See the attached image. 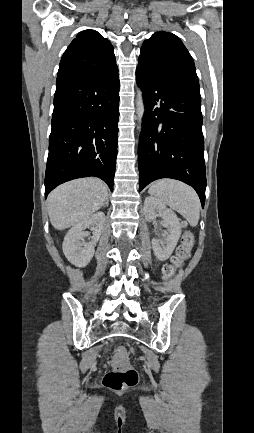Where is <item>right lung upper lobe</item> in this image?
<instances>
[{"instance_id":"1","label":"right lung upper lobe","mask_w":254,"mask_h":433,"mask_svg":"<svg viewBox=\"0 0 254 433\" xmlns=\"http://www.w3.org/2000/svg\"><path fill=\"white\" fill-rule=\"evenodd\" d=\"M114 49L95 30L78 33L64 52L56 82L81 76H95L116 68Z\"/></svg>"}]
</instances>
